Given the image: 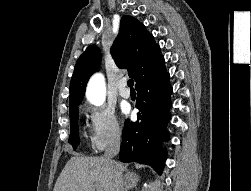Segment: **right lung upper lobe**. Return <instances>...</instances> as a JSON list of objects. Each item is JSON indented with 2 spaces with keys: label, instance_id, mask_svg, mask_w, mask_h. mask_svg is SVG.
<instances>
[{
  "label": "right lung upper lobe",
  "instance_id": "1",
  "mask_svg": "<svg viewBox=\"0 0 251 191\" xmlns=\"http://www.w3.org/2000/svg\"><path fill=\"white\" fill-rule=\"evenodd\" d=\"M112 57L119 68H127L136 88L155 81L166 72L160 47L145 26L132 16H123L119 34L111 48ZM100 51L88 47L78 58L70 83L69 107L78 106L85 93L90 76L100 69Z\"/></svg>",
  "mask_w": 251,
  "mask_h": 191
}]
</instances>
